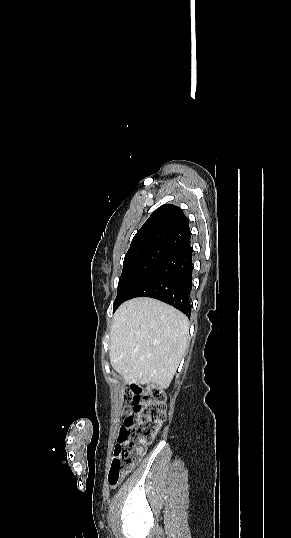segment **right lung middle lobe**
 I'll return each mask as SVG.
<instances>
[{
    "mask_svg": "<svg viewBox=\"0 0 291 538\" xmlns=\"http://www.w3.org/2000/svg\"><path fill=\"white\" fill-rule=\"evenodd\" d=\"M171 250L166 247H147L128 252L125 255L113 313L124 301L129 299L130 294L140 281Z\"/></svg>",
    "mask_w": 291,
    "mask_h": 538,
    "instance_id": "1",
    "label": "right lung middle lobe"
}]
</instances>
